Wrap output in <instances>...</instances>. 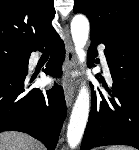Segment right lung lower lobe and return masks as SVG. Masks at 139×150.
<instances>
[{"mask_svg": "<svg viewBox=\"0 0 139 150\" xmlns=\"http://www.w3.org/2000/svg\"><path fill=\"white\" fill-rule=\"evenodd\" d=\"M45 46H50L52 53L44 72L61 75L65 47L55 30L27 52L26 61H0V132L27 133L44 143L48 150H54L66 117L63 89L57 85L50 90L29 89L36 77H28L30 54L42 51Z\"/></svg>", "mask_w": 139, "mask_h": 150, "instance_id": "obj_1", "label": "right lung lower lobe"}]
</instances>
